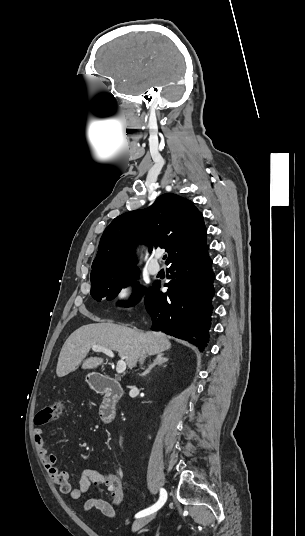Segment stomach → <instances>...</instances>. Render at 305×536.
Returning a JSON list of instances; mask_svg holds the SVG:
<instances>
[{"instance_id": "stomach-1", "label": "stomach", "mask_w": 305, "mask_h": 536, "mask_svg": "<svg viewBox=\"0 0 305 536\" xmlns=\"http://www.w3.org/2000/svg\"><path fill=\"white\" fill-rule=\"evenodd\" d=\"M92 378H93L92 374H88V376H86V382H88V384H91ZM97 380H99V378H97Z\"/></svg>"}]
</instances>
